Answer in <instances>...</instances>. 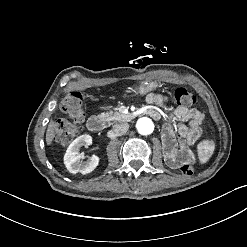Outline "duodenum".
I'll list each match as a JSON object with an SVG mask.
<instances>
[{"label": "duodenum", "instance_id": "duodenum-1", "mask_svg": "<svg viewBox=\"0 0 247 247\" xmlns=\"http://www.w3.org/2000/svg\"><path fill=\"white\" fill-rule=\"evenodd\" d=\"M87 128L93 132H99L104 127V119L100 116H92L87 120Z\"/></svg>", "mask_w": 247, "mask_h": 247}]
</instances>
